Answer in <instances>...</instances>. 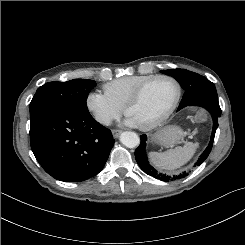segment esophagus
<instances>
[{"instance_id": "34e87169", "label": "esophagus", "mask_w": 245, "mask_h": 245, "mask_svg": "<svg viewBox=\"0 0 245 245\" xmlns=\"http://www.w3.org/2000/svg\"><path fill=\"white\" fill-rule=\"evenodd\" d=\"M120 133H121L120 130H116V129L112 130V134H113V137L114 138H118V136L120 135Z\"/></svg>"}]
</instances>
